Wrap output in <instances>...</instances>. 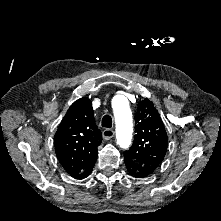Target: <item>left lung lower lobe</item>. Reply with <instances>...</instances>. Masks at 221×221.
<instances>
[{
	"label": "left lung lower lobe",
	"mask_w": 221,
	"mask_h": 221,
	"mask_svg": "<svg viewBox=\"0 0 221 221\" xmlns=\"http://www.w3.org/2000/svg\"><path fill=\"white\" fill-rule=\"evenodd\" d=\"M124 161L128 172L135 178H145L151 174L148 170L139 166V164L126 155H124Z\"/></svg>",
	"instance_id": "1"
}]
</instances>
